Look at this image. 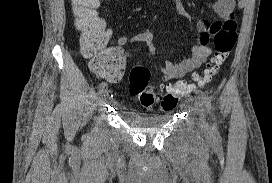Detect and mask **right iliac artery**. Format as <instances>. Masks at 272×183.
<instances>
[{
  "instance_id": "1",
  "label": "right iliac artery",
  "mask_w": 272,
  "mask_h": 183,
  "mask_svg": "<svg viewBox=\"0 0 272 183\" xmlns=\"http://www.w3.org/2000/svg\"><path fill=\"white\" fill-rule=\"evenodd\" d=\"M106 87H107V83H106V82H101V83L98 85L99 91L105 90Z\"/></svg>"
}]
</instances>
